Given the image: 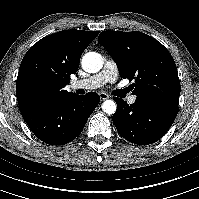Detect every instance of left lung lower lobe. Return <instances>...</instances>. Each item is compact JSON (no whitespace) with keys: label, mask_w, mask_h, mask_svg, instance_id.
<instances>
[{"label":"left lung lower lobe","mask_w":199,"mask_h":199,"mask_svg":"<svg viewBox=\"0 0 199 199\" xmlns=\"http://www.w3.org/2000/svg\"><path fill=\"white\" fill-rule=\"evenodd\" d=\"M117 110L113 123L119 134L137 145H149L158 141L174 122L178 107L136 98L134 104L115 97Z\"/></svg>","instance_id":"left-lung-lower-lobe-1"}]
</instances>
